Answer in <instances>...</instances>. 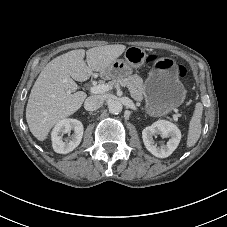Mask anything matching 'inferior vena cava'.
Returning <instances> with one entry per match:
<instances>
[{"mask_svg": "<svg viewBox=\"0 0 227 227\" xmlns=\"http://www.w3.org/2000/svg\"><path fill=\"white\" fill-rule=\"evenodd\" d=\"M104 103V98L100 95H93L88 97L84 102V108L87 111H94L99 109Z\"/></svg>", "mask_w": 227, "mask_h": 227, "instance_id": "1", "label": "inferior vena cava"}]
</instances>
